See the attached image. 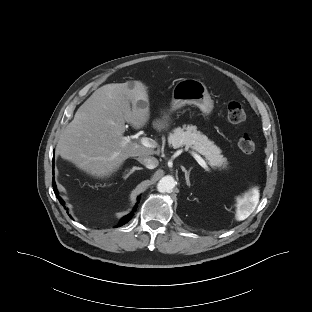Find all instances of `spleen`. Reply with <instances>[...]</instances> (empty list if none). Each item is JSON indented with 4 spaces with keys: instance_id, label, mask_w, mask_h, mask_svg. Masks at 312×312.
Here are the masks:
<instances>
[{
    "instance_id": "1",
    "label": "spleen",
    "mask_w": 312,
    "mask_h": 312,
    "mask_svg": "<svg viewBox=\"0 0 312 312\" xmlns=\"http://www.w3.org/2000/svg\"><path fill=\"white\" fill-rule=\"evenodd\" d=\"M259 201V192L253 189L238 204L236 212V220L246 219L256 208Z\"/></svg>"
}]
</instances>
